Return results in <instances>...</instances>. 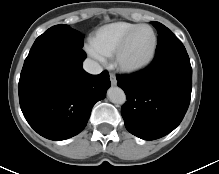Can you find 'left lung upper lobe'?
I'll return each mask as SVG.
<instances>
[{
    "label": "left lung upper lobe",
    "instance_id": "1",
    "mask_svg": "<svg viewBox=\"0 0 219 174\" xmlns=\"http://www.w3.org/2000/svg\"><path fill=\"white\" fill-rule=\"evenodd\" d=\"M158 32V43L156 54H161L170 50H186L179 39L172 33L170 29L159 22H151Z\"/></svg>",
    "mask_w": 219,
    "mask_h": 174
}]
</instances>
